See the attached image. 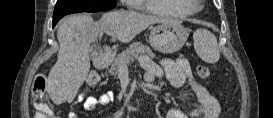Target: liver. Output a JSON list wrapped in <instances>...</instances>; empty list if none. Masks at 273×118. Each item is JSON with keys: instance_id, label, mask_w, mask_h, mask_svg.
<instances>
[{"instance_id": "obj_1", "label": "liver", "mask_w": 273, "mask_h": 118, "mask_svg": "<svg viewBox=\"0 0 273 118\" xmlns=\"http://www.w3.org/2000/svg\"><path fill=\"white\" fill-rule=\"evenodd\" d=\"M175 22L167 18L136 11H113L98 21L90 15H75L63 19L57 31L58 58L49 72L46 90L51 100L59 105L72 102L87 78L90 69L89 46L105 30L112 41H132L136 35L155 23Z\"/></svg>"}]
</instances>
